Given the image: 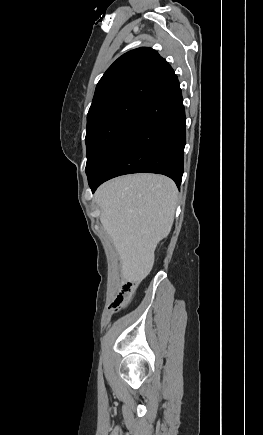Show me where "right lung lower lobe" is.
I'll return each instance as SVG.
<instances>
[{
  "instance_id": "obj_1",
  "label": "right lung lower lobe",
  "mask_w": 263,
  "mask_h": 435,
  "mask_svg": "<svg viewBox=\"0 0 263 435\" xmlns=\"http://www.w3.org/2000/svg\"><path fill=\"white\" fill-rule=\"evenodd\" d=\"M186 118L179 81L146 101L129 122L89 185L130 173H157L179 187L183 175Z\"/></svg>"
}]
</instances>
